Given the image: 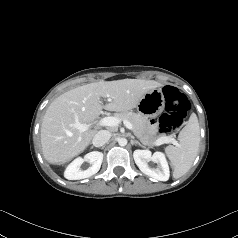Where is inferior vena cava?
Returning a JSON list of instances; mask_svg holds the SVG:
<instances>
[{
    "label": "inferior vena cava",
    "mask_w": 238,
    "mask_h": 238,
    "mask_svg": "<svg viewBox=\"0 0 238 238\" xmlns=\"http://www.w3.org/2000/svg\"><path fill=\"white\" fill-rule=\"evenodd\" d=\"M110 137L111 134L109 131L100 130L93 137L92 143L95 147H101L109 141Z\"/></svg>",
    "instance_id": "602c4592"
}]
</instances>
